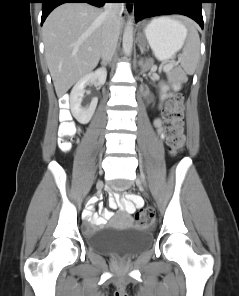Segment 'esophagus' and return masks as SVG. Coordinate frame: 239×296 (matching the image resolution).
<instances>
[{
	"label": "esophagus",
	"instance_id": "1",
	"mask_svg": "<svg viewBox=\"0 0 239 296\" xmlns=\"http://www.w3.org/2000/svg\"><path fill=\"white\" fill-rule=\"evenodd\" d=\"M125 11H126V14L129 16V17H132L133 14H134V5L132 4H127L125 6Z\"/></svg>",
	"mask_w": 239,
	"mask_h": 296
}]
</instances>
